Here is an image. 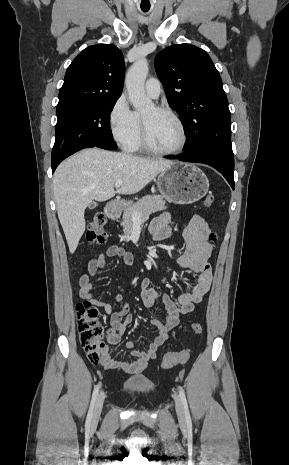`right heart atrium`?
<instances>
[{"label":"right heart atrium","instance_id":"obj_1","mask_svg":"<svg viewBox=\"0 0 289 465\" xmlns=\"http://www.w3.org/2000/svg\"><path fill=\"white\" fill-rule=\"evenodd\" d=\"M108 125L113 139L123 147L138 132L139 118L130 108L125 96H119L113 103L108 114Z\"/></svg>","mask_w":289,"mask_h":465}]
</instances>
